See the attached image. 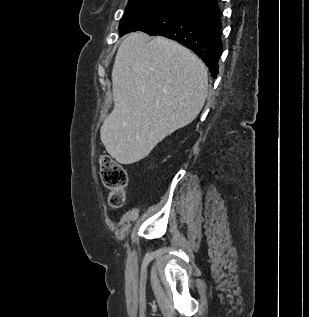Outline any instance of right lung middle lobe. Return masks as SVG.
Segmentation results:
<instances>
[{
  "label": "right lung middle lobe",
  "mask_w": 309,
  "mask_h": 317,
  "mask_svg": "<svg viewBox=\"0 0 309 317\" xmlns=\"http://www.w3.org/2000/svg\"><path fill=\"white\" fill-rule=\"evenodd\" d=\"M177 1L179 0H129L126 11L120 21V32L125 31L140 17Z\"/></svg>",
  "instance_id": "right-lung-middle-lobe-1"
}]
</instances>
